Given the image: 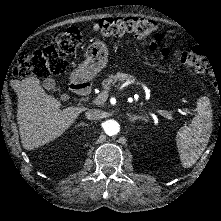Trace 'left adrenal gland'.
<instances>
[{"mask_svg": "<svg viewBox=\"0 0 221 221\" xmlns=\"http://www.w3.org/2000/svg\"><path fill=\"white\" fill-rule=\"evenodd\" d=\"M128 116H129V119H130V121H134L135 119H137L138 117H142L141 115H139V114H133V115H130V114H128Z\"/></svg>", "mask_w": 221, "mask_h": 221, "instance_id": "1", "label": "left adrenal gland"}]
</instances>
